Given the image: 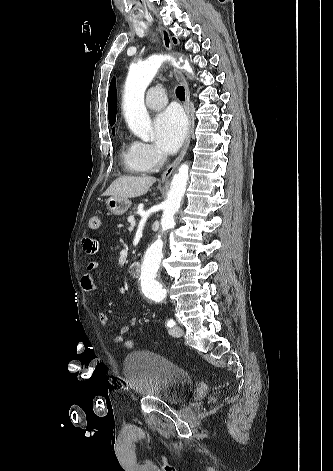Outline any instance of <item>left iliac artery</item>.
<instances>
[{"label":"left iliac artery","instance_id":"left-iliac-artery-1","mask_svg":"<svg viewBox=\"0 0 333 471\" xmlns=\"http://www.w3.org/2000/svg\"><path fill=\"white\" fill-rule=\"evenodd\" d=\"M166 325H167V327H170V328H171V327H173V326L175 325V321H174L173 319H170V320L167 321V324H166Z\"/></svg>","mask_w":333,"mask_h":471}]
</instances>
